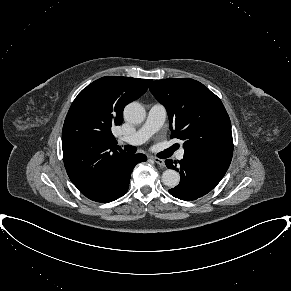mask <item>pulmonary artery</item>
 <instances>
[{
	"label": "pulmonary artery",
	"instance_id": "1",
	"mask_svg": "<svg viewBox=\"0 0 291 291\" xmlns=\"http://www.w3.org/2000/svg\"><path fill=\"white\" fill-rule=\"evenodd\" d=\"M165 119L166 108L160 103H154L148 111L143 126L131 136L122 138L121 142L130 145H140L144 143L162 127ZM176 157L180 160L183 159L184 149L179 150Z\"/></svg>",
	"mask_w": 291,
	"mask_h": 291
}]
</instances>
